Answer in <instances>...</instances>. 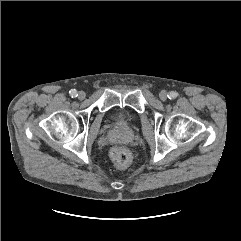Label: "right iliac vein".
Listing matches in <instances>:
<instances>
[{
    "label": "right iliac vein",
    "mask_w": 241,
    "mask_h": 241,
    "mask_svg": "<svg viewBox=\"0 0 241 241\" xmlns=\"http://www.w3.org/2000/svg\"><path fill=\"white\" fill-rule=\"evenodd\" d=\"M85 96H86L85 92H83V91H79V92H78V98H79L80 100H83V99L85 98Z\"/></svg>",
    "instance_id": "63e3f726"
}]
</instances>
